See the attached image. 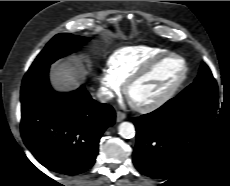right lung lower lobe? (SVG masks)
I'll return each mask as SVG.
<instances>
[{"label": "right lung lower lobe", "instance_id": "obj_1", "mask_svg": "<svg viewBox=\"0 0 230 186\" xmlns=\"http://www.w3.org/2000/svg\"><path fill=\"white\" fill-rule=\"evenodd\" d=\"M49 67L27 72L21 87V134L43 166L66 175L79 174L95 162L98 143L115 122L108 104L91 98L81 86L57 93L49 83Z\"/></svg>", "mask_w": 230, "mask_h": 186}]
</instances>
